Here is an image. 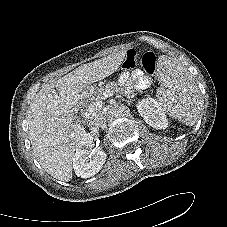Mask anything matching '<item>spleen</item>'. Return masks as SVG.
<instances>
[{
	"label": "spleen",
	"mask_w": 227,
	"mask_h": 227,
	"mask_svg": "<svg viewBox=\"0 0 227 227\" xmlns=\"http://www.w3.org/2000/svg\"><path fill=\"white\" fill-rule=\"evenodd\" d=\"M157 67L161 81L159 98L165 111L186 125H194L203 100L192 75L180 61L165 55L160 56Z\"/></svg>",
	"instance_id": "spleen-1"
}]
</instances>
